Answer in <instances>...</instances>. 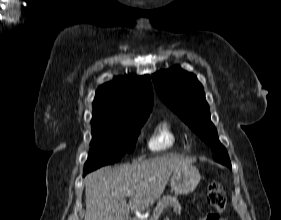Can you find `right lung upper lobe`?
Returning a JSON list of instances; mask_svg holds the SVG:
<instances>
[{
    "mask_svg": "<svg viewBox=\"0 0 281 220\" xmlns=\"http://www.w3.org/2000/svg\"><path fill=\"white\" fill-rule=\"evenodd\" d=\"M152 106L149 75L115 77L97 89L91 122H113L149 115Z\"/></svg>",
    "mask_w": 281,
    "mask_h": 220,
    "instance_id": "1",
    "label": "right lung upper lobe"
}]
</instances>
